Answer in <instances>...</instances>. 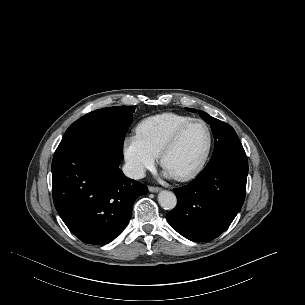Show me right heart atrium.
Wrapping results in <instances>:
<instances>
[{
	"instance_id": "obj_1",
	"label": "right heart atrium",
	"mask_w": 305,
	"mask_h": 305,
	"mask_svg": "<svg viewBox=\"0 0 305 305\" xmlns=\"http://www.w3.org/2000/svg\"><path fill=\"white\" fill-rule=\"evenodd\" d=\"M123 154L130 174L137 178L143 176L145 171L151 169L156 162V156L137 135L124 140Z\"/></svg>"
}]
</instances>
